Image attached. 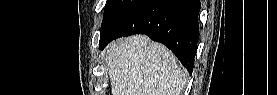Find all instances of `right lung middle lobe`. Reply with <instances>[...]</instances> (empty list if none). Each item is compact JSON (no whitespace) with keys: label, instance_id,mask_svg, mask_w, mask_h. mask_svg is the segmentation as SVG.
<instances>
[{"label":"right lung middle lobe","instance_id":"obj_1","mask_svg":"<svg viewBox=\"0 0 277 95\" xmlns=\"http://www.w3.org/2000/svg\"><path fill=\"white\" fill-rule=\"evenodd\" d=\"M145 0H107L100 31L99 45Z\"/></svg>","mask_w":277,"mask_h":95}]
</instances>
